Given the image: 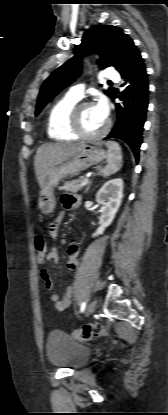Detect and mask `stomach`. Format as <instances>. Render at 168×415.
I'll use <instances>...</instances> for the list:
<instances>
[{
  "instance_id": "obj_1",
  "label": "stomach",
  "mask_w": 168,
  "mask_h": 415,
  "mask_svg": "<svg viewBox=\"0 0 168 415\" xmlns=\"http://www.w3.org/2000/svg\"><path fill=\"white\" fill-rule=\"evenodd\" d=\"M106 157V152L93 145L84 144L82 149L73 157L54 167L46 178L41 188L39 197V209L43 214L53 212L56 202L54 188L66 176H72L98 164Z\"/></svg>"
}]
</instances>
